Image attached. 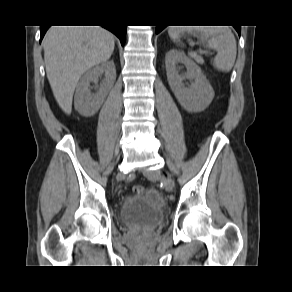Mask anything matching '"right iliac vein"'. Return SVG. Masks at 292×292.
Segmentation results:
<instances>
[{"label":"right iliac vein","instance_id":"63e3f726","mask_svg":"<svg viewBox=\"0 0 292 292\" xmlns=\"http://www.w3.org/2000/svg\"><path fill=\"white\" fill-rule=\"evenodd\" d=\"M117 178H118L119 180H122V179L124 178V175H123L122 173H119V174L117 175Z\"/></svg>","mask_w":292,"mask_h":292}]
</instances>
